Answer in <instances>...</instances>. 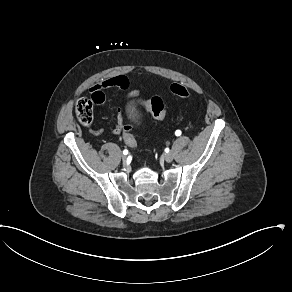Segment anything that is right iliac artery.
I'll return each instance as SVG.
<instances>
[{
    "label": "right iliac artery",
    "mask_w": 292,
    "mask_h": 292,
    "mask_svg": "<svg viewBox=\"0 0 292 292\" xmlns=\"http://www.w3.org/2000/svg\"><path fill=\"white\" fill-rule=\"evenodd\" d=\"M123 154L127 155L128 154V150L127 149L123 150Z\"/></svg>",
    "instance_id": "right-iliac-artery-1"
}]
</instances>
